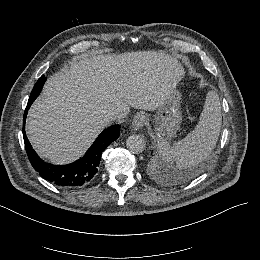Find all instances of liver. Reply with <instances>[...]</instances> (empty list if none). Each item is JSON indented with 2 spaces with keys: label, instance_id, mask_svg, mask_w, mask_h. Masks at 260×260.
Wrapping results in <instances>:
<instances>
[{
  "label": "liver",
  "instance_id": "obj_1",
  "mask_svg": "<svg viewBox=\"0 0 260 260\" xmlns=\"http://www.w3.org/2000/svg\"><path fill=\"white\" fill-rule=\"evenodd\" d=\"M184 74L178 60L161 51L75 57L70 69L47 79L29 109L28 140L41 158L71 163L110 123L104 120L109 111L119 120L131 107L154 111Z\"/></svg>",
  "mask_w": 260,
  "mask_h": 260
}]
</instances>
